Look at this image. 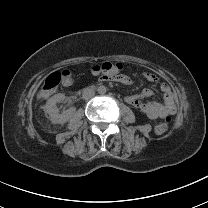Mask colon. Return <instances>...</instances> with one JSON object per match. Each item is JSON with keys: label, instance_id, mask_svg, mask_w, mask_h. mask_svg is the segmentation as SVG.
I'll return each instance as SVG.
<instances>
[{"label": "colon", "instance_id": "1", "mask_svg": "<svg viewBox=\"0 0 208 208\" xmlns=\"http://www.w3.org/2000/svg\"><path fill=\"white\" fill-rule=\"evenodd\" d=\"M123 65L121 62L118 61H109V62H102V63H95L91 66L90 72L97 76H104V75H120L122 72ZM73 79L72 72L69 69H64L61 72H54L51 73L45 80L43 85V90L45 92L55 91L59 85L69 84ZM170 127V121L164 120L158 123L155 126V133L158 135H163L168 132Z\"/></svg>", "mask_w": 208, "mask_h": 208}]
</instances>
